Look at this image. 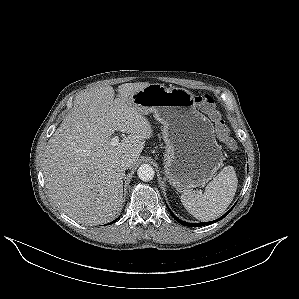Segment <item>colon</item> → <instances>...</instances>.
Segmentation results:
<instances>
[{
  "label": "colon",
  "instance_id": "5ec220e1",
  "mask_svg": "<svg viewBox=\"0 0 299 299\" xmlns=\"http://www.w3.org/2000/svg\"><path fill=\"white\" fill-rule=\"evenodd\" d=\"M195 101L214 123L218 137L224 141L227 146L233 148L234 141L229 136L228 127L222 118V114L216 105L213 95L210 93H202L195 97Z\"/></svg>",
  "mask_w": 299,
  "mask_h": 299
}]
</instances>
